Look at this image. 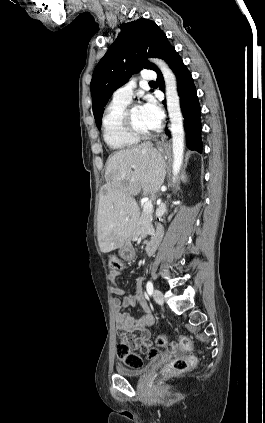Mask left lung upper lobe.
Masks as SVG:
<instances>
[{
    "label": "left lung upper lobe",
    "instance_id": "1",
    "mask_svg": "<svg viewBox=\"0 0 265 423\" xmlns=\"http://www.w3.org/2000/svg\"><path fill=\"white\" fill-rule=\"evenodd\" d=\"M169 46L165 33L151 20L139 19L121 27L117 39L109 47L96 66L91 94L93 113L98 129H101L103 109L112 93L141 69L158 68L146 60L148 57L164 59Z\"/></svg>",
    "mask_w": 265,
    "mask_h": 423
}]
</instances>
